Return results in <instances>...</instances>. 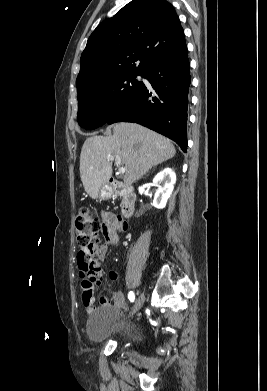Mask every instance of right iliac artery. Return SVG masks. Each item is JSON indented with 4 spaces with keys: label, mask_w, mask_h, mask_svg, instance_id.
I'll use <instances>...</instances> for the list:
<instances>
[{
    "label": "right iliac artery",
    "mask_w": 267,
    "mask_h": 391,
    "mask_svg": "<svg viewBox=\"0 0 267 391\" xmlns=\"http://www.w3.org/2000/svg\"><path fill=\"white\" fill-rule=\"evenodd\" d=\"M128 298H129V300H130L131 302H133L134 299H135L134 293H133V292H130V293L128 294Z\"/></svg>",
    "instance_id": "82829eb1"
}]
</instances>
